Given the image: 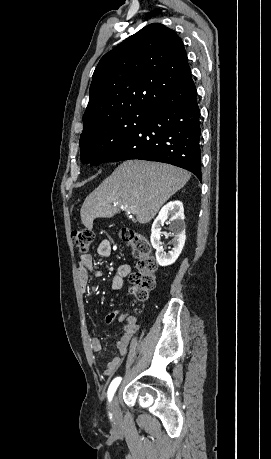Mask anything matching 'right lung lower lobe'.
<instances>
[{"instance_id": "obj_1", "label": "right lung lower lobe", "mask_w": 271, "mask_h": 459, "mask_svg": "<svg viewBox=\"0 0 271 459\" xmlns=\"http://www.w3.org/2000/svg\"><path fill=\"white\" fill-rule=\"evenodd\" d=\"M154 108L106 162H164L192 172L201 181L200 109L193 80L158 100Z\"/></svg>"}]
</instances>
